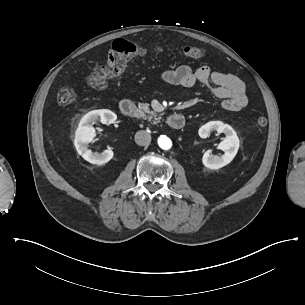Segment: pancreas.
Instances as JSON below:
<instances>
[{"label":"pancreas","instance_id":"1","mask_svg":"<svg viewBox=\"0 0 305 305\" xmlns=\"http://www.w3.org/2000/svg\"><path fill=\"white\" fill-rule=\"evenodd\" d=\"M139 116L145 120L151 121L154 119V123H159L161 120V117H158L157 113L154 111H151L149 109V104L148 103H139Z\"/></svg>","mask_w":305,"mask_h":305}]
</instances>
